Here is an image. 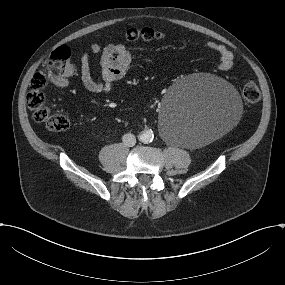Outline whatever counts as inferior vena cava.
Masks as SVG:
<instances>
[{
  "label": "inferior vena cava",
  "mask_w": 285,
  "mask_h": 285,
  "mask_svg": "<svg viewBox=\"0 0 285 285\" xmlns=\"http://www.w3.org/2000/svg\"><path fill=\"white\" fill-rule=\"evenodd\" d=\"M123 142L126 146H134L136 143V138L133 134L127 133L123 136Z\"/></svg>",
  "instance_id": "obj_1"
}]
</instances>
